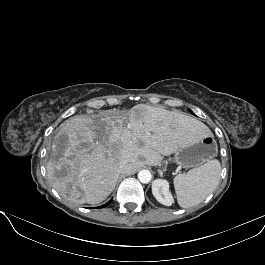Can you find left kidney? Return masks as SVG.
I'll return each mask as SVG.
<instances>
[{"label":"left kidney","instance_id":"5707ae66","mask_svg":"<svg viewBox=\"0 0 265 265\" xmlns=\"http://www.w3.org/2000/svg\"><path fill=\"white\" fill-rule=\"evenodd\" d=\"M152 193L156 200L165 206H171L174 202L169 190V183L164 179H156L152 184Z\"/></svg>","mask_w":265,"mask_h":265}]
</instances>
